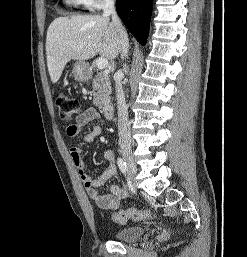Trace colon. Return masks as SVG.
<instances>
[{"instance_id":"colon-1","label":"colon","mask_w":247,"mask_h":257,"mask_svg":"<svg viewBox=\"0 0 247 257\" xmlns=\"http://www.w3.org/2000/svg\"><path fill=\"white\" fill-rule=\"evenodd\" d=\"M56 104L61 119L65 122H71L75 116L82 112L79 101L66 93H59L56 97ZM151 215L148 210H139L135 208L123 209L113 214L114 221L126 223L132 221H142Z\"/></svg>"}]
</instances>
